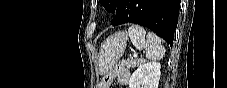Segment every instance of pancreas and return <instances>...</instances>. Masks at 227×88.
Listing matches in <instances>:
<instances>
[{
  "label": "pancreas",
  "mask_w": 227,
  "mask_h": 88,
  "mask_svg": "<svg viewBox=\"0 0 227 88\" xmlns=\"http://www.w3.org/2000/svg\"><path fill=\"white\" fill-rule=\"evenodd\" d=\"M142 63L140 59H125L122 61V64L125 65L127 68H134Z\"/></svg>",
  "instance_id": "cf45deb5"
}]
</instances>
